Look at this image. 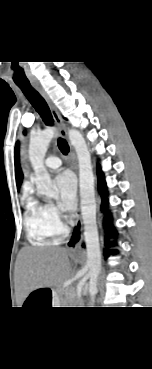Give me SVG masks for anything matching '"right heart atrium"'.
Wrapping results in <instances>:
<instances>
[{
	"mask_svg": "<svg viewBox=\"0 0 152 369\" xmlns=\"http://www.w3.org/2000/svg\"><path fill=\"white\" fill-rule=\"evenodd\" d=\"M48 212L51 218L52 223L59 230H64V226L62 223V214L60 210L55 205H48Z\"/></svg>",
	"mask_w": 152,
	"mask_h": 369,
	"instance_id": "obj_1",
	"label": "right heart atrium"
}]
</instances>
